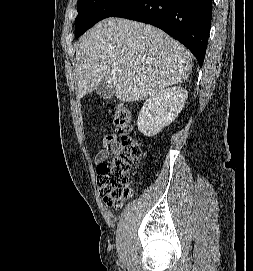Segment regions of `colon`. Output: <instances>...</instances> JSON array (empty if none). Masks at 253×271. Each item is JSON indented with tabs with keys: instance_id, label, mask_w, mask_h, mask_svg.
Masks as SVG:
<instances>
[{
	"instance_id": "1",
	"label": "colon",
	"mask_w": 253,
	"mask_h": 271,
	"mask_svg": "<svg viewBox=\"0 0 253 271\" xmlns=\"http://www.w3.org/2000/svg\"><path fill=\"white\" fill-rule=\"evenodd\" d=\"M113 125L121 136V150L100 161L96 183L105 204L118 208L131 195L130 177L136 162V144L130 135L132 113L122 103L115 106Z\"/></svg>"
}]
</instances>
